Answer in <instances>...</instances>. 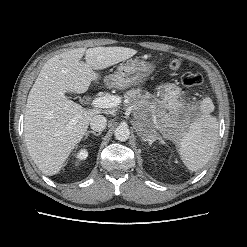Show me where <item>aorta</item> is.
Segmentation results:
<instances>
[{
  "mask_svg": "<svg viewBox=\"0 0 247 247\" xmlns=\"http://www.w3.org/2000/svg\"><path fill=\"white\" fill-rule=\"evenodd\" d=\"M114 136L118 141L124 142L129 139L130 131L125 125L118 126L114 131Z\"/></svg>",
  "mask_w": 247,
  "mask_h": 247,
  "instance_id": "obj_1",
  "label": "aorta"
}]
</instances>
